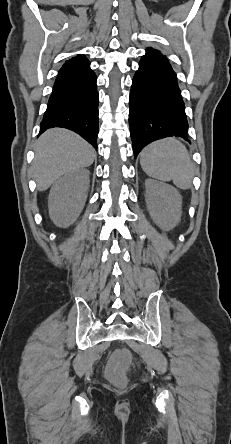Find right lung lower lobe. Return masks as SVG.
<instances>
[{"instance_id": "1", "label": "right lung lower lobe", "mask_w": 231, "mask_h": 444, "mask_svg": "<svg viewBox=\"0 0 231 444\" xmlns=\"http://www.w3.org/2000/svg\"><path fill=\"white\" fill-rule=\"evenodd\" d=\"M51 127L73 130L97 149L98 94L90 65L57 76L40 133Z\"/></svg>"}]
</instances>
